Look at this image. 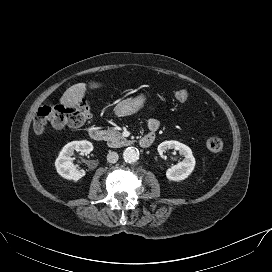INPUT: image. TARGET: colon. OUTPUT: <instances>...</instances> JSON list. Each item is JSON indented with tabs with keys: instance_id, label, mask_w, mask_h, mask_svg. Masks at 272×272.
I'll list each match as a JSON object with an SVG mask.
<instances>
[{
	"instance_id": "colon-1",
	"label": "colon",
	"mask_w": 272,
	"mask_h": 272,
	"mask_svg": "<svg viewBox=\"0 0 272 272\" xmlns=\"http://www.w3.org/2000/svg\"><path fill=\"white\" fill-rule=\"evenodd\" d=\"M190 96V91L187 89H178L174 92V98L181 103L187 102ZM90 115V106L86 101H80L74 105L43 106L39 108L35 117L34 130L37 134H42L49 125L78 127L83 125ZM206 146L210 151L217 153L222 151L223 141L217 136H211L207 139Z\"/></svg>"
}]
</instances>
